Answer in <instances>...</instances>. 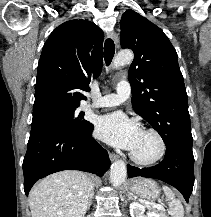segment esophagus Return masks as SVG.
Returning a JSON list of instances; mask_svg holds the SVG:
<instances>
[{"label":"esophagus","mask_w":211,"mask_h":217,"mask_svg":"<svg viewBox=\"0 0 211 217\" xmlns=\"http://www.w3.org/2000/svg\"><path fill=\"white\" fill-rule=\"evenodd\" d=\"M107 36H108L109 38H111L116 44L118 43V36H117V34L115 33V31L111 30V31L107 32ZM109 157H110V160H111V161H115V160L118 159V155L113 154V153H110V154H109Z\"/></svg>","instance_id":"1"}]
</instances>
